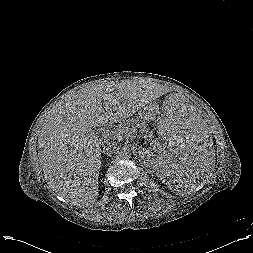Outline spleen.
Wrapping results in <instances>:
<instances>
[{
  "label": "spleen",
  "instance_id": "1",
  "mask_svg": "<svg viewBox=\"0 0 253 253\" xmlns=\"http://www.w3.org/2000/svg\"><path fill=\"white\" fill-rule=\"evenodd\" d=\"M159 132L154 165L164 185L182 195L195 190L212 157L207 128L194 112L178 109L161 122Z\"/></svg>",
  "mask_w": 253,
  "mask_h": 253
}]
</instances>
